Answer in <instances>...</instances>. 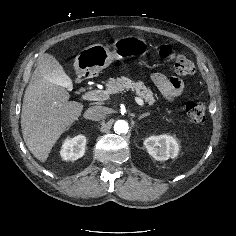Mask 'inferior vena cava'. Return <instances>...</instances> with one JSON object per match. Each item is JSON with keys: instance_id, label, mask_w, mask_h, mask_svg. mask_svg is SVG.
Wrapping results in <instances>:
<instances>
[{"instance_id": "inferior-vena-cava-1", "label": "inferior vena cava", "mask_w": 236, "mask_h": 236, "mask_svg": "<svg viewBox=\"0 0 236 236\" xmlns=\"http://www.w3.org/2000/svg\"><path fill=\"white\" fill-rule=\"evenodd\" d=\"M107 109L103 106H91L85 112V117L93 121H99L105 118Z\"/></svg>"}]
</instances>
